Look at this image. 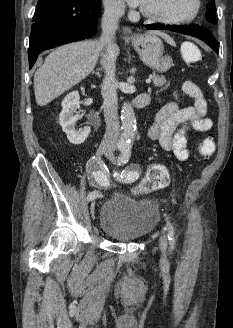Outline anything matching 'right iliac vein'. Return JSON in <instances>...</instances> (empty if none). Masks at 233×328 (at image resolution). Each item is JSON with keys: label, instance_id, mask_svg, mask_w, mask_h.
<instances>
[{"label": "right iliac vein", "instance_id": "right-iliac-vein-1", "mask_svg": "<svg viewBox=\"0 0 233 328\" xmlns=\"http://www.w3.org/2000/svg\"><path fill=\"white\" fill-rule=\"evenodd\" d=\"M110 150L105 147V146H101L99 147V149L97 150V156L100 158L101 156L103 155H107V153L109 152ZM90 210H91V215L92 217L94 218V212H95V203L92 202L91 205H90Z\"/></svg>", "mask_w": 233, "mask_h": 328}]
</instances>
